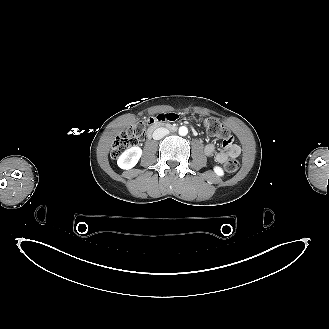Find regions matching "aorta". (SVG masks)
<instances>
[{
    "label": "aorta",
    "mask_w": 329,
    "mask_h": 329,
    "mask_svg": "<svg viewBox=\"0 0 329 329\" xmlns=\"http://www.w3.org/2000/svg\"><path fill=\"white\" fill-rule=\"evenodd\" d=\"M188 134V128L186 126H181L179 128V135L185 136Z\"/></svg>",
    "instance_id": "aorta-1"
}]
</instances>
